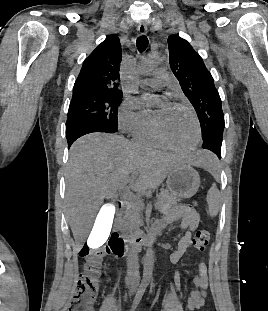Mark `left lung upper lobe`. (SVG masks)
Listing matches in <instances>:
<instances>
[{
	"mask_svg": "<svg viewBox=\"0 0 268 311\" xmlns=\"http://www.w3.org/2000/svg\"><path fill=\"white\" fill-rule=\"evenodd\" d=\"M168 48L171 70L197 113L203 142L222 141L224 114L212 75L188 41L171 35Z\"/></svg>",
	"mask_w": 268,
	"mask_h": 311,
	"instance_id": "5c2ea615",
	"label": "left lung upper lobe"
}]
</instances>
